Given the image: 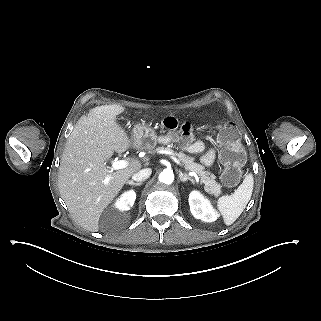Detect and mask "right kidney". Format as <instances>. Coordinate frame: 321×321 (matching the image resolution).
<instances>
[{
	"label": "right kidney",
	"instance_id": "obj_1",
	"mask_svg": "<svg viewBox=\"0 0 321 321\" xmlns=\"http://www.w3.org/2000/svg\"><path fill=\"white\" fill-rule=\"evenodd\" d=\"M136 194L134 191L126 192L120 198V201L116 203V207L120 210H128L134 203Z\"/></svg>",
	"mask_w": 321,
	"mask_h": 321
}]
</instances>
